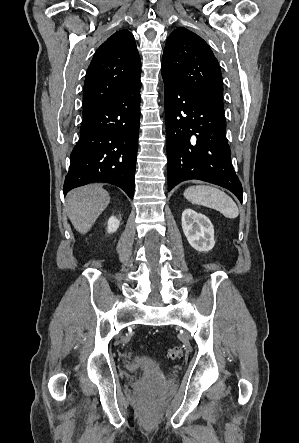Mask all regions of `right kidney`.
I'll return each instance as SVG.
<instances>
[{
	"label": "right kidney",
	"mask_w": 299,
	"mask_h": 443,
	"mask_svg": "<svg viewBox=\"0 0 299 443\" xmlns=\"http://www.w3.org/2000/svg\"><path fill=\"white\" fill-rule=\"evenodd\" d=\"M119 224L120 221L116 217L111 216L108 220V227H107L108 233L115 232L118 229Z\"/></svg>",
	"instance_id": "1"
}]
</instances>
